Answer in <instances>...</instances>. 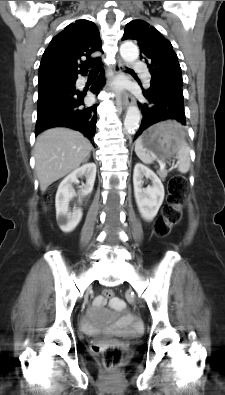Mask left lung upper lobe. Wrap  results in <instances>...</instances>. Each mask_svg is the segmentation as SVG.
Listing matches in <instances>:
<instances>
[{
    "mask_svg": "<svg viewBox=\"0 0 225 395\" xmlns=\"http://www.w3.org/2000/svg\"><path fill=\"white\" fill-rule=\"evenodd\" d=\"M137 40L141 58L151 73V84L183 85L181 68L171 43L154 27L143 20L129 22L122 40Z\"/></svg>",
    "mask_w": 225,
    "mask_h": 395,
    "instance_id": "obj_1",
    "label": "left lung upper lobe"
}]
</instances>
